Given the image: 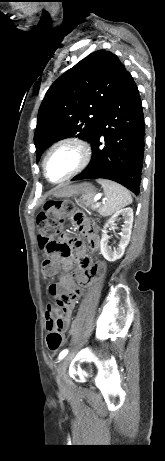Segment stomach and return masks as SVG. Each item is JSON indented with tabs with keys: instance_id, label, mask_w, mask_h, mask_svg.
I'll return each mask as SVG.
<instances>
[{
	"instance_id": "stomach-1",
	"label": "stomach",
	"mask_w": 165,
	"mask_h": 461,
	"mask_svg": "<svg viewBox=\"0 0 165 461\" xmlns=\"http://www.w3.org/2000/svg\"><path fill=\"white\" fill-rule=\"evenodd\" d=\"M95 194V189L90 183H80L75 185H66L54 192L56 197L69 198L74 195H82V197H91Z\"/></svg>"
}]
</instances>
